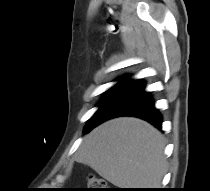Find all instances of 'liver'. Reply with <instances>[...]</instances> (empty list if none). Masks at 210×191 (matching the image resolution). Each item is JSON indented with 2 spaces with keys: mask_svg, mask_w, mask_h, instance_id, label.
<instances>
[{
  "mask_svg": "<svg viewBox=\"0 0 210 191\" xmlns=\"http://www.w3.org/2000/svg\"><path fill=\"white\" fill-rule=\"evenodd\" d=\"M164 148L156 128L138 118L121 117L91 131L76 160L119 188H159L166 172Z\"/></svg>",
  "mask_w": 210,
  "mask_h": 191,
  "instance_id": "obj_1",
  "label": "liver"
}]
</instances>
